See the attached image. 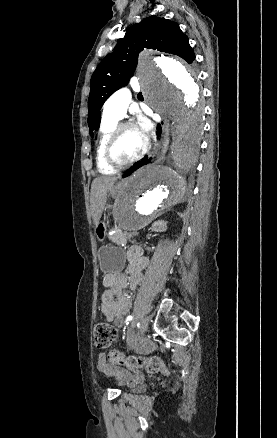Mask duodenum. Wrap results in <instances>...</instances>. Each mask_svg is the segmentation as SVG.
Here are the masks:
<instances>
[{"label": "duodenum", "instance_id": "410a0bca", "mask_svg": "<svg viewBox=\"0 0 277 438\" xmlns=\"http://www.w3.org/2000/svg\"><path fill=\"white\" fill-rule=\"evenodd\" d=\"M127 259H128V260H130V259H131V257H130V256H127Z\"/></svg>", "mask_w": 277, "mask_h": 438}]
</instances>
